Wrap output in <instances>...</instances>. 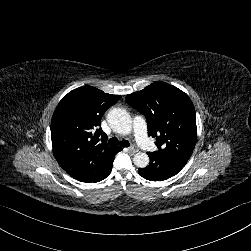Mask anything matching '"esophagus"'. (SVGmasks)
Here are the masks:
<instances>
[{
    "instance_id": "esophagus-1",
    "label": "esophagus",
    "mask_w": 251,
    "mask_h": 251,
    "mask_svg": "<svg viewBox=\"0 0 251 251\" xmlns=\"http://www.w3.org/2000/svg\"><path fill=\"white\" fill-rule=\"evenodd\" d=\"M128 151L132 154H135L139 151V148L136 146V145H131L129 148H128Z\"/></svg>"
}]
</instances>
